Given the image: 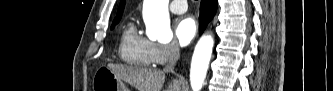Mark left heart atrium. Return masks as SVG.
<instances>
[{
	"mask_svg": "<svg viewBox=\"0 0 333 91\" xmlns=\"http://www.w3.org/2000/svg\"><path fill=\"white\" fill-rule=\"evenodd\" d=\"M197 26L192 17H183L179 19L175 26V34L180 45H188L196 35Z\"/></svg>",
	"mask_w": 333,
	"mask_h": 91,
	"instance_id": "obj_1",
	"label": "left heart atrium"
}]
</instances>
